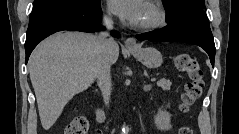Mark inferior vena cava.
Here are the masks:
<instances>
[{
  "mask_svg": "<svg viewBox=\"0 0 239 134\" xmlns=\"http://www.w3.org/2000/svg\"><path fill=\"white\" fill-rule=\"evenodd\" d=\"M103 25L108 29L113 28V20L111 14L104 17ZM99 47L95 52L94 74L98 86L102 92L105 105L109 104L112 83H111V47L115 43L107 33L98 35Z\"/></svg>",
  "mask_w": 239,
  "mask_h": 134,
  "instance_id": "obj_1",
  "label": "inferior vena cava"
}]
</instances>
